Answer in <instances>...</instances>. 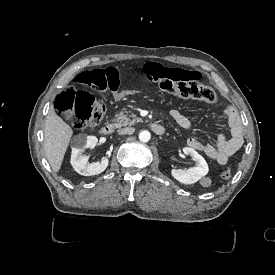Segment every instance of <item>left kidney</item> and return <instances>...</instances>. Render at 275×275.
Here are the masks:
<instances>
[{
    "label": "left kidney",
    "instance_id": "1",
    "mask_svg": "<svg viewBox=\"0 0 275 275\" xmlns=\"http://www.w3.org/2000/svg\"><path fill=\"white\" fill-rule=\"evenodd\" d=\"M184 154L190 155L195 162V166L190 167L187 170L173 169L171 171L172 176L182 184L189 185L199 181L202 177L206 176L209 172V167L204 159L195 149L185 147L183 149Z\"/></svg>",
    "mask_w": 275,
    "mask_h": 275
}]
</instances>
